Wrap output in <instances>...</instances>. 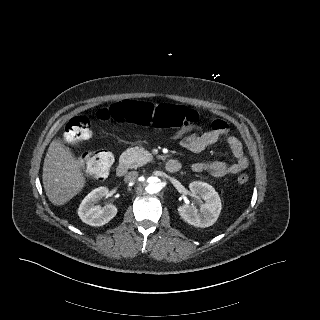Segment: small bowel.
Instances as JSON below:
<instances>
[{"mask_svg": "<svg viewBox=\"0 0 320 320\" xmlns=\"http://www.w3.org/2000/svg\"><path fill=\"white\" fill-rule=\"evenodd\" d=\"M182 148L189 152L198 154L203 152L208 146L215 144L219 139L224 138L227 142L235 160L233 162L210 161L195 162L191 169L194 172H208L214 177H224L234 175L248 167V158L244 152L241 141L234 135L229 134V128L225 121L215 120L212 129L202 131L195 125H185L176 134Z\"/></svg>", "mask_w": 320, "mask_h": 320, "instance_id": "obj_1", "label": "small bowel"}]
</instances>
